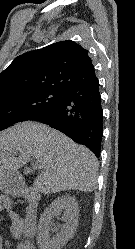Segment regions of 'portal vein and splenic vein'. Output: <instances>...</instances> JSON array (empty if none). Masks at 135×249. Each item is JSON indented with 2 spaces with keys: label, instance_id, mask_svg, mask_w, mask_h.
<instances>
[{
  "label": "portal vein and splenic vein",
  "instance_id": "portal-vein-and-splenic-vein-1",
  "mask_svg": "<svg viewBox=\"0 0 135 249\" xmlns=\"http://www.w3.org/2000/svg\"><path fill=\"white\" fill-rule=\"evenodd\" d=\"M35 166H38L37 162L35 163Z\"/></svg>",
  "mask_w": 135,
  "mask_h": 249
}]
</instances>
